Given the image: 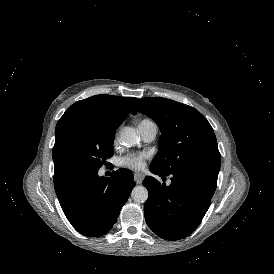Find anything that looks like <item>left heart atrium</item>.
Masks as SVG:
<instances>
[{
  "mask_svg": "<svg viewBox=\"0 0 274 274\" xmlns=\"http://www.w3.org/2000/svg\"><path fill=\"white\" fill-rule=\"evenodd\" d=\"M145 156L142 154L129 155L121 159L120 163L132 169H140L144 165Z\"/></svg>",
  "mask_w": 274,
  "mask_h": 274,
  "instance_id": "left-heart-atrium-1",
  "label": "left heart atrium"
}]
</instances>
